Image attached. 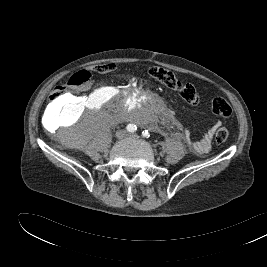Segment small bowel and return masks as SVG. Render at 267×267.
Returning a JSON list of instances; mask_svg holds the SVG:
<instances>
[{
    "mask_svg": "<svg viewBox=\"0 0 267 267\" xmlns=\"http://www.w3.org/2000/svg\"><path fill=\"white\" fill-rule=\"evenodd\" d=\"M79 102H75L71 105V107H77ZM218 124L213 125L208 132L204 135V137L198 141L192 142L193 149L200 153H207L211 148V142L213 139L214 132L217 128Z\"/></svg>",
    "mask_w": 267,
    "mask_h": 267,
    "instance_id": "c3829d8e",
    "label": "small bowel"
}]
</instances>
